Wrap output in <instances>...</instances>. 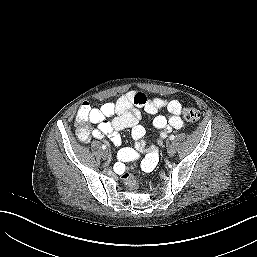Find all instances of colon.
<instances>
[{
    "mask_svg": "<svg viewBox=\"0 0 257 257\" xmlns=\"http://www.w3.org/2000/svg\"><path fill=\"white\" fill-rule=\"evenodd\" d=\"M86 105H89V104L88 103H82V105L79 108V109L82 108L81 118H80L81 123H85L86 117L89 114V109L87 107H84ZM183 118L187 123L194 124L199 120L200 112L194 107H186L183 110ZM125 183H126V186L133 191H136L139 188V184L137 183V181L133 177H131L130 175L125 176Z\"/></svg>",
    "mask_w": 257,
    "mask_h": 257,
    "instance_id": "colon-1",
    "label": "colon"
}]
</instances>
